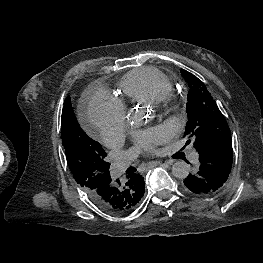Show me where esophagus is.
I'll list each match as a JSON object with an SVG mask.
<instances>
[{
	"instance_id": "34e87169",
	"label": "esophagus",
	"mask_w": 263,
	"mask_h": 263,
	"mask_svg": "<svg viewBox=\"0 0 263 263\" xmlns=\"http://www.w3.org/2000/svg\"><path fill=\"white\" fill-rule=\"evenodd\" d=\"M168 164H172V162H167ZM161 164V162L160 161H153V162H150V163H148V168H152V167H154V166H157V165H160Z\"/></svg>"
}]
</instances>
